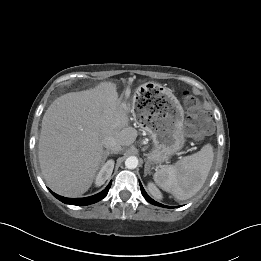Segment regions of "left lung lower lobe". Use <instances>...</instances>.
Returning a JSON list of instances; mask_svg holds the SVG:
<instances>
[{
  "instance_id": "1",
  "label": "left lung lower lobe",
  "mask_w": 261,
  "mask_h": 261,
  "mask_svg": "<svg viewBox=\"0 0 261 261\" xmlns=\"http://www.w3.org/2000/svg\"><path fill=\"white\" fill-rule=\"evenodd\" d=\"M140 188H141V192H142V195L144 196V198L151 204H154V205H157V206H160V207H166V208H171L169 206H165V205H162L156 201H154L151 197L148 196V194L145 192L142 184L140 183Z\"/></svg>"
}]
</instances>
